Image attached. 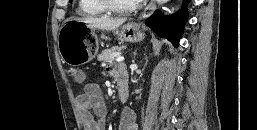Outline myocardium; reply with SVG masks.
I'll use <instances>...</instances> for the list:
<instances>
[{
	"label": "myocardium",
	"instance_id": "f54148a6",
	"mask_svg": "<svg viewBox=\"0 0 257 130\" xmlns=\"http://www.w3.org/2000/svg\"><path fill=\"white\" fill-rule=\"evenodd\" d=\"M97 3L108 12L126 14L136 11L141 6V1L134 3L128 7H121L114 3L113 0H96Z\"/></svg>",
	"mask_w": 257,
	"mask_h": 130
}]
</instances>
